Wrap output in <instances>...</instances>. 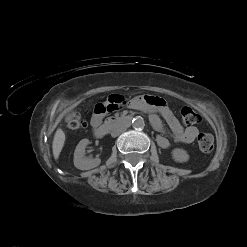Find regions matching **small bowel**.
<instances>
[{
    "label": "small bowel",
    "instance_id": "obj_1",
    "mask_svg": "<svg viewBox=\"0 0 247 247\" xmlns=\"http://www.w3.org/2000/svg\"><path fill=\"white\" fill-rule=\"evenodd\" d=\"M124 104H126V100L119 95L109 97L105 104H97L95 107L96 111L91 119L92 127L94 128L101 123L104 114H109L121 108ZM130 107L148 113L152 126L161 133H164V126L161 120L163 118L176 142L192 143L199 134L198 129L194 126L183 127L166 102L159 97L144 96L134 98L130 102ZM157 144L161 148H168L170 142L164 135H158Z\"/></svg>",
    "mask_w": 247,
    "mask_h": 247
}]
</instances>
